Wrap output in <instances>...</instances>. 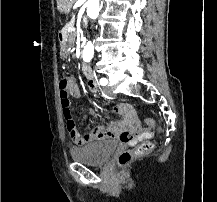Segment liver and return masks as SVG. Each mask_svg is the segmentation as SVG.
<instances>
[{
    "label": "liver",
    "mask_w": 217,
    "mask_h": 202,
    "mask_svg": "<svg viewBox=\"0 0 217 202\" xmlns=\"http://www.w3.org/2000/svg\"><path fill=\"white\" fill-rule=\"evenodd\" d=\"M76 0H57V8L61 14H69Z\"/></svg>",
    "instance_id": "obj_1"
}]
</instances>
